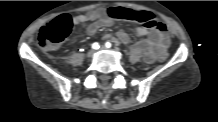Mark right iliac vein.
Returning <instances> with one entry per match:
<instances>
[{
	"mask_svg": "<svg viewBox=\"0 0 218 122\" xmlns=\"http://www.w3.org/2000/svg\"><path fill=\"white\" fill-rule=\"evenodd\" d=\"M93 54H94V51H93V50H90V51L87 53V58H88V59H91L92 56H93Z\"/></svg>",
	"mask_w": 218,
	"mask_h": 122,
	"instance_id": "obj_1",
	"label": "right iliac vein"
}]
</instances>
